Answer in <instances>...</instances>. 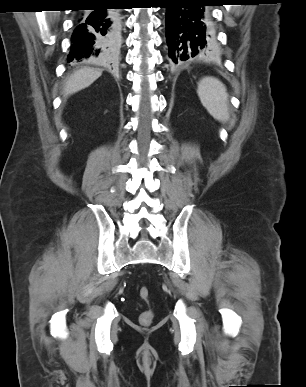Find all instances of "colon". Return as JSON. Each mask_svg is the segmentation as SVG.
I'll return each instance as SVG.
<instances>
[{"instance_id":"5ec220e1","label":"colon","mask_w":306,"mask_h":387,"mask_svg":"<svg viewBox=\"0 0 306 387\" xmlns=\"http://www.w3.org/2000/svg\"><path fill=\"white\" fill-rule=\"evenodd\" d=\"M139 296L142 300H144L145 302H148L149 298H150V291H149L148 287L142 286L139 289ZM153 317H154L153 311L146 310L140 314L139 323L142 326H149L153 321Z\"/></svg>"}]
</instances>
